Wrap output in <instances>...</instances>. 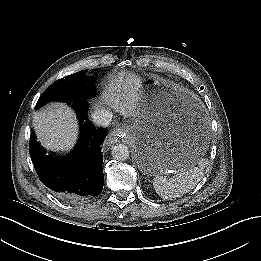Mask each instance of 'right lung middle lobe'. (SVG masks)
<instances>
[{"label":"right lung middle lobe","instance_id":"dd1d6c3e","mask_svg":"<svg viewBox=\"0 0 261 261\" xmlns=\"http://www.w3.org/2000/svg\"><path fill=\"white\" fill-rule=\"evenodd\" d=\"M87 70H82L58 80L39 98L36 108L52 100L69 101L73 103L86 101L95 94L94 79L86 76Z\"/></svg>","mask_w":261,"mask_h":261}]
</instances>
